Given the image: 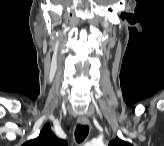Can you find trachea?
I'll return each instance as SVG.
<instances>
[{
  "mask_svg": "<svg viewBox=\"0 0 164 146\" xmlns=\"http://www.w3.org/2000/svg\"><path fill=\"white\" fill-rule=\"evenodd\" d=\"M89 133V127L86 125L78 124L75 130V140L77 143H81L85 140Z\"/></svg>",
  "mask_w": 164,
  "mask_h": 146,
  "instance_id": "3493384b",
  "label": "trachea"
}]
</instances>
